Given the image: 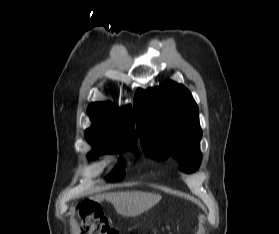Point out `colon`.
<instances>
[{
	"mask_svg": "<svg viewBox=\"0 0 279 234\" xmlns=\"http://www.w3.org/2000/svg\"><path fill=\"white\" fill-rule=\"evenodd\" d=\"M80 229L82 234H119L110 226L100 207L91 202L81 207Z\"/></svg>",
	"mask_w": 279,
	"mask_h": 234,
	"instance_id": "5ec220e1",
	"label": "colon"
}]
</instances>
